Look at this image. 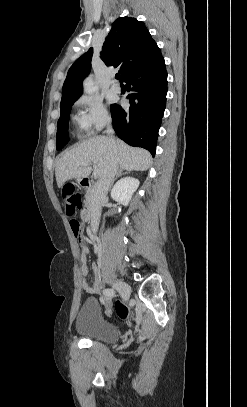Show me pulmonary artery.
<instances>
[{"label":"pulmonary artery","mask_w":247,"mask_h":407,"mask_svg":"<svg viewBox=\"0 0 247 407\" xmlns=\"http://www.w3.org/2000/svg\"><path fill=\"white\" fill-rule=\"evenodd\" d=\"M111 89L116 93L120 92V90H121L120 85L118 83H116L115 80H113L111 83Z\"/></svg>","instance_id":"1"}]
</instances>
